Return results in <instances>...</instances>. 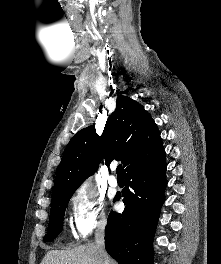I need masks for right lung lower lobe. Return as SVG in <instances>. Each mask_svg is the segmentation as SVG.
I'll return each instance as SVG.
<instances>
[{
  "mask_svg": "<svg viewBox=\"0 0 221 264\" xmlns=\"http://www.w3.org/2000/svg\"><path fill=\"white\" fill-rule=\"evenodd\" d=\"M166 168L164 151L125 173L122 198L126 208L121 214L110 213L105 230L106 251L119 264H153V237L164 202Z\"/></svg>",
  "mask_w": 221,
  "mask_h": 264,
  "instance_id": "right-lung-lower-lobe-1",
  "label": "right lung lower lobe"
}]
</instances>
